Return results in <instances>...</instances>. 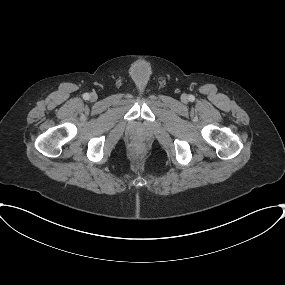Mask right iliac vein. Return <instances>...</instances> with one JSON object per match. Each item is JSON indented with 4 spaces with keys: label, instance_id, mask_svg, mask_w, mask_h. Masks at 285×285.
<instances>
[{
    "label": "right iliac vein",
    "instance_id": "right-iliac-vein-1",
    "mask_svg": "<svg viewBox=\"0 0 285 285\" xmlns=\"http://www.w3.org/2000/svg\"><path fill=\"white\" fill-rule=\"evenodd\" d=\"M90 99H91L92 101H95V100L97 99V95L94 94V93L91 94Z\"/></svg>",
    "mask_w": 285,
    "mask_h": 285
}]
</instances>
